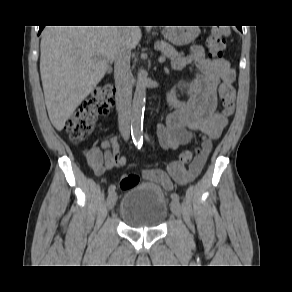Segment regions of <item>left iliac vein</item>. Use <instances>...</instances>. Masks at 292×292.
Listing matches in <instances>:
<instances>
[{
	"label": "left iliac vein",
	"instance_id": "obj_1",
	"mask_svg": "<svg viewBox=\"0 0 292 292\" xmlns=\"http://www.w3.org/2000/svg\"><path fill=\"white\" fill-rule=\"evenodd\" d=\"M170 208H171V211L172 213L180 218L181 217V210H180V204L178 201H172L171 204H170Z\"/></svg>",
	"mask_w": 292,
	"mask_h": 292
}]
</instances>
